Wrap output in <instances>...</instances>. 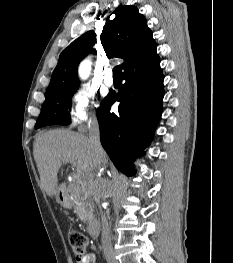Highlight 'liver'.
Masks as SVG:
<instances>
[{"label":"liver","mask_w":233,"mask_h":263,"mask_svg":"<svg viewBox=\"0 0 233 263\" xmlns=\"http://www.w3.org/2000/svg\"><path fill=\"white\" fill-rule=\"evenodd\" d=\"M34 159L41 187L49 197L58 193L57 174L62 164L76 165L78 179L89 181L95 172L108 164L106 153H100V163L87 136L66 130H51L39 134L34 142Z\"/></svg>","instance_id":"1"}]
</instances>
